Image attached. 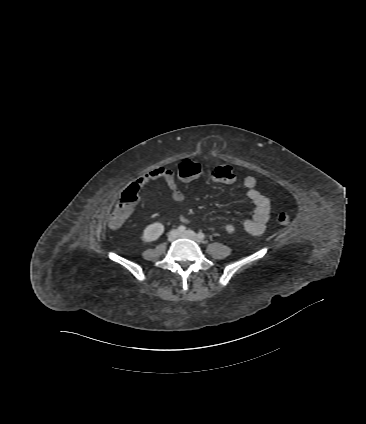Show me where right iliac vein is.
<instances>
[{
    "instance_id": "right-iliac-vein-1",
    "label": "right iliac vein",
    "mask_w": 366,
    "mask_h": 424,
    "mask_svg": "<svg viewBox=\"0 0 366 424\" xmlns=\"http://www.w3.org/2000/svg\"><path fill=\"white\" fill-rule=\"evenodd\" d=\"M179 235V232L177 230H172L169 234H168V240L169 241H174Z\"/></svg>"
}]
</instances>
